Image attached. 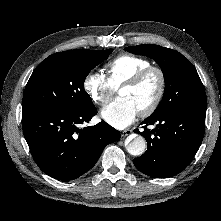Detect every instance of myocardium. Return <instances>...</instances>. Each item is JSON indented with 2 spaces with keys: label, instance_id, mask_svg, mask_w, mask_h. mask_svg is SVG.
I'll return each mask as SVG.
<instances>
[{
  "label": "myocardium",
  "instance_id": "1",
  "mask_svg": "<svg viewBox=\"0 0 221 221\" xmlns=\"http://www.w3.org/2000/svg\"><path fill=\"white\" fill-rule=\"evenodd\" d=\"M151 73H155L158 75L159 87H158L157 94H156L155 98L153 99V101L147 107H145L144 109L139 111V114L142 117H147V116L151 115L152 113H154L164 99L165 92H166V86H167V79H166V75H165L163 69L158 66L150 65V66L145 67V68L139 70L138 72H136L133 76H131L130 78L125 80L119 86V90L123 87L136 86V85L140 84Z\"/></svg>",
  "mask_w": 221,
  "mask_h": 221
}]
</instances>
